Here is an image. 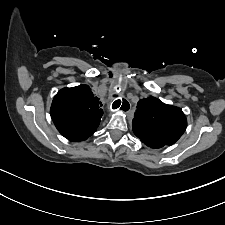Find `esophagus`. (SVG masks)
I'll return each instance as SVG.
<instances>
[{
  "label": "esophagus",
  "mask_w": 225,
  "mask_h": 225,
  "mask_svg": "<svg viewBox=\"0 0 225 225\" xmlns=\"http://www.w3.org/2000/svg\"><path fill=\"white\" fill-rule=\"evenodd\" d=\"M117 100V99H116ZM116 100H114L112 103H111V105H110V109L111 110H121V111H123L124 113H128L129 111H130V108H131V104H130V102L129 101H127L128 102V104H129V108L127 109V108H125V109H122L121 108V106H122V104H123V101H121V105L118 107V108H116V109H114V106H115V102H116Z\"/></svg>",
  "instance_id": "obj_1"
}]
</instances>
